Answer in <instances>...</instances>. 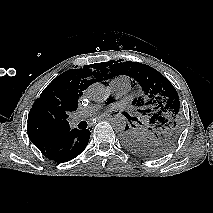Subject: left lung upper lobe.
Instances as JSON below:
<instances>
[{
    "label": "left lung upper lobe",
    "instance_id": "5c2ea615",
    "mask_svg": "<svg viewBox=\"0 0 213 213\" xmlns=\"http://www.w3.org/2000/svg\"><path fill=\"white\" fill-rule=\"evenodd\" d=\"M99 69L104 79L117 75L132 77L144 92L132 103L141 116L137 127L126 126L122 135L125 147L144 158H157L169 152L183 127L179 96L171 82L156 69L138 62L112 60L100 63Z\"/></svg>",
    "mask_w": 213,
    "mask_h": 213
}]
</instances>
